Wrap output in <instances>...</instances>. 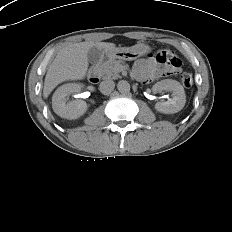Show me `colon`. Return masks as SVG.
Wrapping results in <instances>:
<instances>
[{"instance_id": "1", "label": "colon", "mask_w": 232, "mask_h": 232, "mask_svg": "<svg viewBox=\"0 0 232 232\" xmlns=\"http://www.w3.org/2000/svg\"><path fill=\"white\" fill-rule=\"evenodd\" d=\"M152 58L160 66L164 65L166 67L172 68L175 70V72L179 71L182 65V62L176 53L169 49H161L156 51L152 55ZM181 81L185 88H191L193 85V77L190 73H183L181 75Z\"/></svg>"}]
</instances>
